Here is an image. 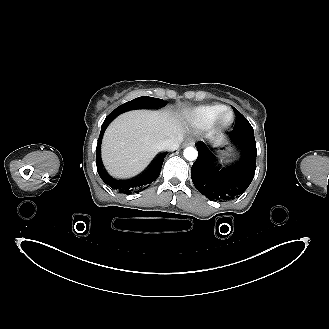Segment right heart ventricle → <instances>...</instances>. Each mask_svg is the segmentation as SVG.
<instances>
[{
    "label": "right heart ventricle",
    "mask_w": 329,
    "mask_h": 329,
    "mask_svg": "<svg viewBox=\"0 0 329 329\" xmlns=\"http://www.w3.org/2000/svg\"><path fill=\"white\" fill-rule=\"evenodd\" d=\"M225 109L224 105L199 106L184 113V118L199 127H207L215 121L220 112Z\"/></svg>",
    "instance_id": "obj_1"
}]
</instances>
